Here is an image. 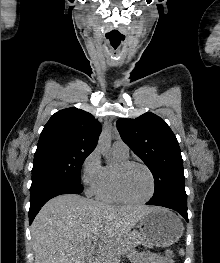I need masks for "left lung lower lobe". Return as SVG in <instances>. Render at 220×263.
<instances>
[{
  "instance_id": "1",
  "label": "left lung lower lobe",
  "mask_w": 220,
  "mask_h": 263,
  "mask_svg": "<svg viewBox=\"0 0 220 263\" xmlns=\"http://www.w3.org/2000/svg\"><path fill=\"white\" fill-rule=\"evenodd\" d=\"M146 204L163 206L166 208L173 209V210L177 211L180 215H182L185 218V220L188 222L187 206H180V205L170 203V202H155V201H151V200L149 202H147Z\"/></svg>"
}]
</instances>
